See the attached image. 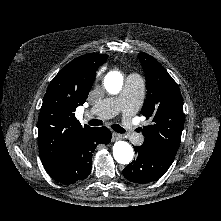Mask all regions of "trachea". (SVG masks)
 <instances>
[{"label":"trachea","mask_w":221,"mask_h":221,"mask_svg":"<svg viewBox=\"0 0 221 221\" xmlns=\"http://www.w3.org/2000/svg\"><path fill=\"white\" fill-rule=\"evenodd\" d=\"M88 123L91 126H99L102 124V121L98 120V119H92ZM111 127L114 131H116L118 133H125V130L117 124H113Z\"/></svg>","instance_id":"trachea-1"}]
</instances>
